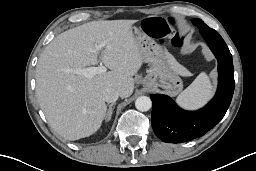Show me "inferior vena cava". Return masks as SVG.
Instances as JSON below:
<instances>
[{"label": "inferior vena cava", "mask_w": 256, "mask_h": 171, "mask_svg": "<svg viewBox=\"0 0 256 171\" xmlns=\"http://www.w3.org/2000/svg\"><path fill=\"white\" fill-rule=\"evenodd\" d=\"M103 97L106 102L114 103L119 97V92L113 88H107L103 93Z\"/></svg>", "instance_id": "obj_1"}]
</instances>
